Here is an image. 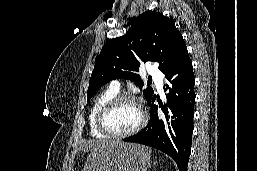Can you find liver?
<instances>
[{"mask_svg":"<svg viewBox=\"0 0 257 171\" xmlns=\"http://www.w3.org/2000/svg\"><path fill=\"white\" fill-rule=\"evenodd\" d=\"M114 142L110 141H98V140H93V141H87L84 144H82V150L84 151H95L98 149H101L109 144H112Z\"/></svg>","mask_w":257,"mask_h":171,"instance_id":"1","label":"liver"}]
</instances>
